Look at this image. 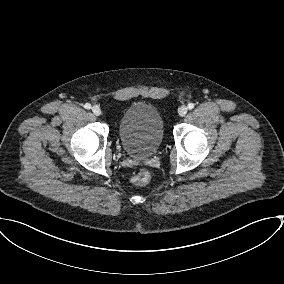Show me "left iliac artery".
<instances>
[{
    "mask_svg": "<svg viewBox=\"0 0 284 284\" xmlns=\"http://www.w3.org/2000/svg\"><path fill=\"white\" fill-rule=\"evenodd\" d=\"M187 108H188L189 110L193 109V108H194V104H193V103H189L188 106H187Z\"/></svg>",
    "mask_w": 284,
    "mask_h": 284,
    "instance_id": "left-iliac-artery-1",
    "label": "left iliac artery"
}]
</instances>
